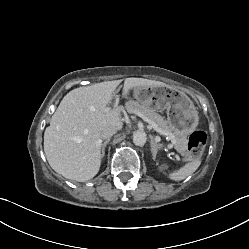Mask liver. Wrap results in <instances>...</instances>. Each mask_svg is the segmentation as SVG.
<instances>
[{
    "label": "liver",
    "instance_id": "liver-1",
    "mask_svg": "<svg viewBox=\"0 0 249 249\" xmlns=\"http://www.w3.org/2000/svg\"><path fill=\"white\" fill-rule=\"evenodd\" d=\"M121 82L114 80L79 87L64 96L44 133L45 155L54 171L79 182L90 180L98 173L102 128L112 125L120 130L123 127L120 110L111 111L107 107ZM141 86L168 85L144 78H126L122 96Z\"/></svg>",
    "mask_w": 249,
    "mask_h": 249
}]
</instances>
